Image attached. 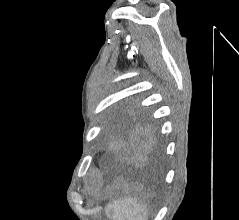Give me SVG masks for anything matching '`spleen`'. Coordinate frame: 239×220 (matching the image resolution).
<instances>
[{
    "label": "spleen",
    "mask_w": 239,
    "mask_h": 220,
    "mask_svg": "<svg viewBox=\"0 0 239 220\" xmlns=\"http://www.w3.org/2000/svg\"><path fill=\"white\" fill-rule=\"evenodd\" d=\"M105 213L112 220H148L146 206L131 197L114 200L106 206Z\"/></svg>",
    "instance_id": "obj_1"
}]
</instances>
